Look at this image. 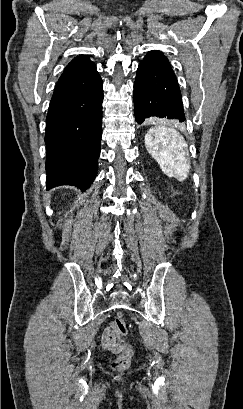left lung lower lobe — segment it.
Here are the masks:
<instances>
[{"instance_id":"obj_1","label":"left lung lower lobe","mask_w":243,"mask_h":409,"mask_svg":"<svg viewBox=\"0 0 243 409\" xmlns=\"http://www.w3.org/2000/svg\"><path fill=\"white\" fill-rule=\"evenodd\" d=\"M135 119L149 117L185 120L180 88L172 68L141 61L134 83Z\"/></svg>"}]
</instances>
